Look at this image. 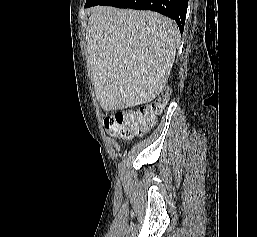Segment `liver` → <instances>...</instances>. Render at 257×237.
<instances>
[{"instance_id": "6515ba94", "label": "liver", "mask_w": 257, "mask_h": 237, "mask_svg": "<svg viewBox=\"0 0 257 237\" xmlns=\"http://www.w3.org/2000/svg\"><path fill=\"white\" fill-rule=\"evenodd\" d=\"M178 37L177 25L159 13L95 7L86 41L102 109L121 110L156 98L170 75Z\"/></svg>"}]
</instances>
